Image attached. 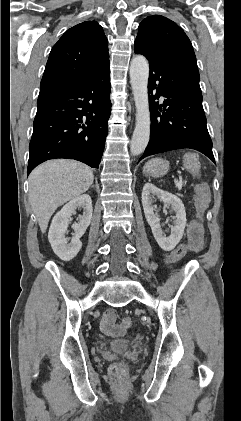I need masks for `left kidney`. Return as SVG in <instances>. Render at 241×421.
I'll use <instances>...</instances> for the list:
<instances>
[{
    "mask_svg": "<svg viewBox=\"0 0 241 421\" xmlns=\"http://www.w3.org/2000/svg\"><path fill=\"white\" fill-rule=\"evenodd\" d=\"M154 198H158L165 204L170 205L176 213L174 226L168 237L163 233L159 217L154 213ZM142 205L146 220L151 227L153 236L158 245L164 251L173 250L180 242L186 226V212L182 201L174 194L163 191L151 183H146L142 190Z\"/></svg>",
    "mask_w": 241,
    "mask_h": 421,
    "instance_id": "5707ae66",
    "label": "left kidney"
}]
</instances>
